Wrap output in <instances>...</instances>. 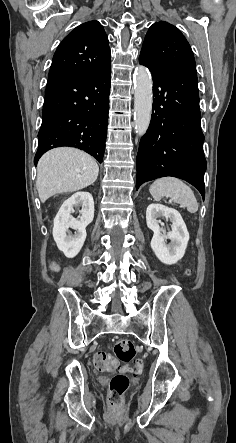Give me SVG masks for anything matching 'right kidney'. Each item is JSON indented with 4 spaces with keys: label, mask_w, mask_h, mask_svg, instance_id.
<instances>
[{
    "label": "right kidney",
    "mask_w": 236,
    "mask_h": 443,
    "mask_svg": "<svg viewBox=\"0 0 236 443\" xmlns=\"http://www.w3.org/2000/svg\"><path fill=\"white\" fill-rule=\"evenodd\" d=\"M74 207L82 208L79 219L71 215ZM93 218L94 200L89 192H77L62 204L54 219L53 238L66 257L73 258L79 253L86 239V227ZM69 228L75 233L72 234Z\"/></svg>",
    "instance_id": "right-kidney-1"
}]
</instances>
